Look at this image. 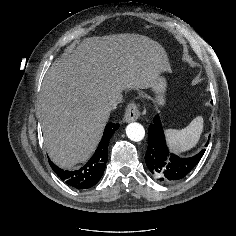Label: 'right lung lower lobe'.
Here are the masks:
<instances>
[{
	"instance_id": "1",
	"label": "right lung lower lobe",
	"mask_w": 236,
	"mask_h": 236,
	"mask_svg": "<svg viewBox=\"0 0 236 236\" xmlns=\"http://www.w3.org/2000/svg\"><path fill=\"white\" fill-rule=\"evenodd\" d=\"M119 128V124L109 123L103 133L92 158L79 170L68 171L57 167L49 160L54 172L69 186L76 189H88L95 185L102 177L108 159V144L113 133Z\"/></svg>"
}]
</instances>
